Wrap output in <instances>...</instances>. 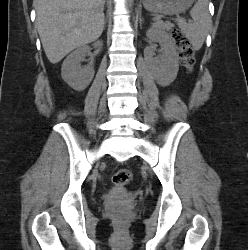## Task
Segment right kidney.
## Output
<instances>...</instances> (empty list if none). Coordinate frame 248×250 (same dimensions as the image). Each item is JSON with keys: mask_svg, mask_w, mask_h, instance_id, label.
<instances>
[{"mask_svg": "<svg viewBox=\"0 0 248 250\" xmlns=\"http://www.w3.org/2000/svg\"><path fill=\"white\" fill-rule=\"evenodd\" d=\"M102 45V41H97L93 44L95 48H100ZM89 50L90 48L86 45L77 48L67 56L62 64V79L76 91L84 90L94 77L95 72L93 66H87L85 68L80 67V62L84 59ZM97 53L98 50L95 51V54Z\"/></svg>", "mask_w": 248, "mask_h": 250, "instance_id": "1", "label": "right kidney"}]
</instances>
